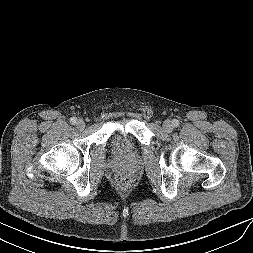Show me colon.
<instances>
[{
    "label": "colon",
    "mask_w": 253,
    "mask_h": 253,
    "mask_svg": "<svg viewBox=\"0 0 253 253\" xmlns=\"http://www.w3.org/2000/svg\"><path fill=\"white\" fill-rule=\"evenodd\" d=\"M118 183L121 187H129L131 184V180L128 177H122L118 180Z\"/></svg>",
    "instance_id": "5ec220e1"
}]
</instances>
